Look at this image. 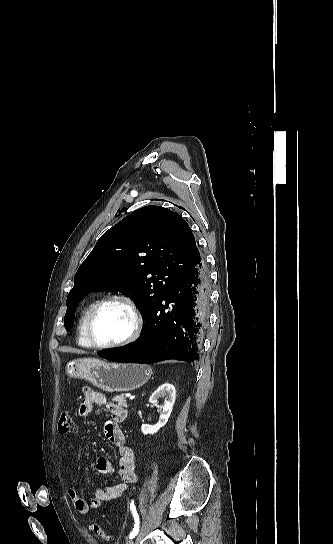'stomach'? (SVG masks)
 Returning <instances> with one entry per match:
<instances>
[{"label":"stomach","instance_id":"0dacf381","mask_svg":"<svg viewBox=\"0 0 333 544\" xmlns=\"http://www.w3.org/2000/svg\"><path fill=\"white\" fill-rule=\"evenodd\" d=\"M66 375L81 378L106 392L131 391L151 377L150 366L136 363H108L99 359H77L66 364Z\"/></svg>","mask_w":333,"mask_h":544}]
</instances>
